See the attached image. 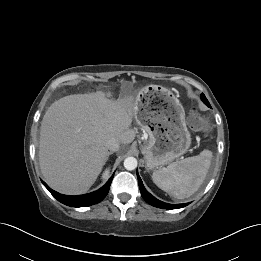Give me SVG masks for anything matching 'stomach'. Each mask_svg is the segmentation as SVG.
I'll use <instances>...</instances> for the list:
<instances>
[{"label":"stomach","mask_w":261,"mask_h":261,"mask_svg":"<svg viewBox=\"0 0 261 261\" xmlns=\"http://www.w3.org/2000/svg\"><path fill=\"white\" fill-rule=\"evenodd\" d=\"M134 116L149 136L141 146L147 169L160 168L188 151L191 135L185 111L170 89L159 85L144 88L137 96Z\"/></svg>","instance_id":"stomach-1"}]
</instances>
